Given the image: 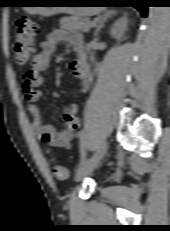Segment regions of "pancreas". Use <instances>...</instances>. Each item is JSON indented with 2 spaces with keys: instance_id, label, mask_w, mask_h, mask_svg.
Returning <instances> with one entry per match:
<instances>
[{
  "instance_id": "cf45deb5",
  "label": "pancreas",
  "mask_w": 170,
  "mask_h": 231,
  "mask_svg": "<svg viewBox=\"0 0 170 231\" xmlns=\"http://www.w3.org/2000/svg\"><path fill=\"white\" fill-rule=\"evenodd\" d=\"M89 19L63 17L60 19V27L70 31L88 32L91 27Z\"/></svg>"
}]
</instances>
